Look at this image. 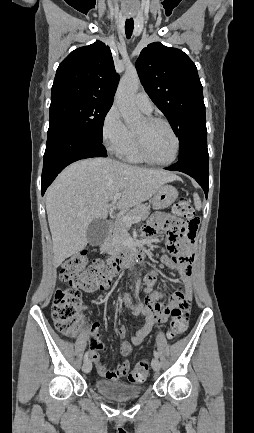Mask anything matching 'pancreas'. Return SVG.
I'll use <instances>...</instances> for the list:
<instances>
[{"instance_id":"1","label":"pancreas","mask_w":254,"mask_h":433,"mask_svg":"<svg viewBox=\"0 0 254 433\" xmlns=\"http://www.w3.org/2000/svg\"><path fill=\"white\" fill-rule=\"evenodd\" d=\"M150 214V207L146 204H138L132 210L125 213L127 216H139L140 220H146ZM128 237V225L121 218L115 220L112 234L109 236L110 246H121L124 238Z\"/></svg>"}]
</instances>
